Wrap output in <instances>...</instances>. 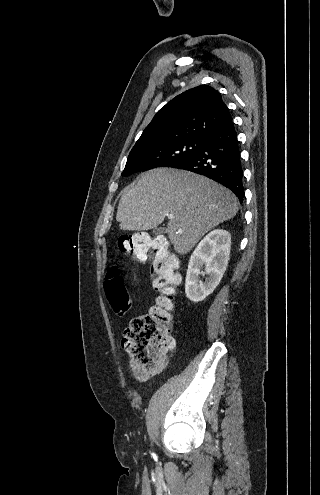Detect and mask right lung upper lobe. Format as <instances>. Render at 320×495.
<instances>
[{
  "label": "right lung upper lobe",
  "mask_w": 320,
  "mask_h": 495,
  "mask_svg": "<svg viewBox=\"0 0 320 495\" xmlns=\"http://www.w3.org/2000/svg\"><path fill=\"white\" fill-rule=\"evenodd\" d=\"M232 121L221 94L209 85L189 89L154 116L134 147L185 138H204Z\"/></svg>",
  "instance_id": "1"
}]
</instances>
